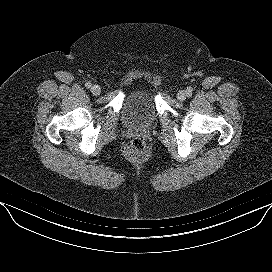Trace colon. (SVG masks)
I'll list each match as a JSON object with an SVG mask.
<instances>
[{"label": "colon", "instance_id": "colon-1", "mask_svg": "<svg viewBox=\"0 0 272 272\" xmlns=\"http://www.w3.org/2000/svg\"><path fill=\"white\" fill-rule=\"evenodd\" d=\"M130 149L134 155H141L145 150V143L142 139L136 137L130 143Z\"/></svg>", "mask_w": 272, "mask_h": 272}]
</instances>
